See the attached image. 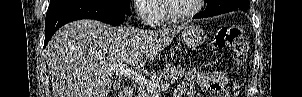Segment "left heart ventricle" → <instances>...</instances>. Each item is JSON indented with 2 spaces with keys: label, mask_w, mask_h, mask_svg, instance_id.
I'll return each mask as SVG.
<instances>
[{
  "label": "left heart ventricle",
  "mask_w": 302,
  "mask_h": 97,
  "mask_svg": "<svg viewBox=\"0 0 302 97\" xmlns=\"http://www.w3.org/2000/svg\"><path fill=\"white\" fill-rule=\"evenodd\" d=\"M172 10L177 14L191 11L196 6V0H170Z\"/></svg>",
  "instance_id": "obj_1"
}]
</instances>
